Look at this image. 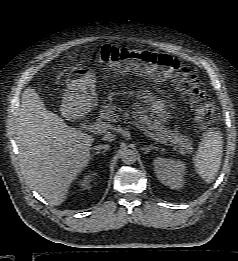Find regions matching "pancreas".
<instances>
[{"label":"pancreas","mask_w":238,"mask_h":261,"mask_svg":"<svg viewBox=\"0 0 238 261\" xmlns=\"http://www.w3.org/2000/svg\"><path fill=\"white\" fill-rule=\"evenodd\" d=\"M117 112L123 114L124 117L129 116V110L117 109L112 102H109L101 106L99 117L108 122H116L120 120V115ZM133 118L137 123L145 124L149 130L154 131L158 138L172 144L173 148L180 154L185 155L193 152L192 142L185 135L166 128L160 121L153 119V117L148 116L145 112H133Z\"/></svg>","instance_id":"obj_1"}]
</instances>
